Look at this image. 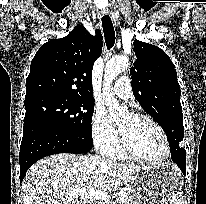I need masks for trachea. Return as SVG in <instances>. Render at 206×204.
Segmentation results:
<instances>
[{
    "label": "trachea",
    "mask_w": 206,
    "mask_h": 204,
    "mask_svg": "<svg viewBox=\"0 0 206 204\" xmlns=\"http://www.w3.org/2000/svg\"><path fill=\"white\" fill-rule=\"evenodd\" d=\"M102 26L107 48L110 49L115 43V31L111 18L108 15L102 17Z\"/></svg>",
    "instance_id": "obj_1"
}]
</instances>
